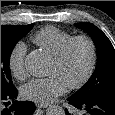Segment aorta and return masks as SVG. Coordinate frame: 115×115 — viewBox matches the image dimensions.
<instances>
[{"instance_id":"aorta-1","label":"aorta","mask_w":115,"mask_h":115,"mask_svg":"<svg viewBox=\"0 0 115 115\" xmlns=\"http://www.w3.org/2000/svg\"><path fill=\"white\" fill-rule=\"evenodd\" d=\"M26 68L33 76H44L47 73L48 62L45 56L36 51L27 56ZM46 115H66L65 110L59 105H52L48 107Z\"/></svg>"}]
</instances>
